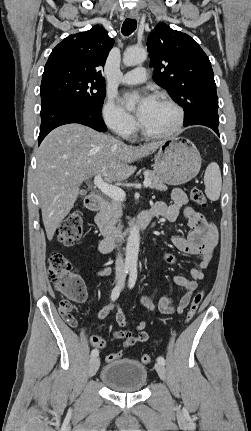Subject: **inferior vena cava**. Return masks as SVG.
I'll return each mask as SVG.
<instances>
[{"instance_id":"inferior-vena-cava-1","label":"inferior vena cava","mask_w":251,"mask_h":431,"mask_svg":"<svg viewBox=\"0 0 251 431\" xmlns=\"http://www.w3.org/2000/svg\"><path fill=\"white\" fill-rule=\"evenodd\" d=\"M117 237H122L120 235V231L117 233L116 235ZM123 269H124V261L123 258L120 254H118L117 258H116V263H115V272H116V277L120 278L123 274Z\"/></svg>"}]
</instances>
